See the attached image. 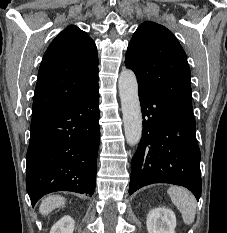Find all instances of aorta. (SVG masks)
Returning a JSON list of instances; mask_svg holds the SVG:
<instances>
[{
    "instance_id": "aorta-1",
    "label": "aorta",
    "mask_w": 227,
    "mask_h": 233,
    "mask_svg": "<svg viewBox=\"0 0 227 233\" xmlns=\"http://www.w3.org/2000/svg\"><path fill=\"white\" fill-rule=\"evenodd\" d=\"M119 96L127 143L135 146L142 136V113L137 78L132 70H123L118 80Z\"/></svg>"
}]
</instances>
